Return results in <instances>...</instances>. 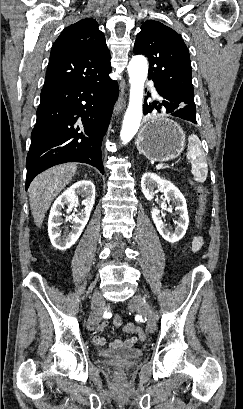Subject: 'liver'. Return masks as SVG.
Listing matches in <instances>:
<instances>
[{
    "mask_svg": "<svg viewBox=\"0 0 243 409\" xmlns=\"http://www.w3.org/2000/svg\"><path fill=\"white\" fill-rule=\"evenodd\" d=\"M77 171L74 163L52 167L39 174L29 187L30 209L35 224L40 227L54 198L69 184Z\"/></svg>",
    "mask_w": 243,
    "mask_h": 409,
    "instance_id": "6515ba94",
    "label": "liver"
}]
</instances>
